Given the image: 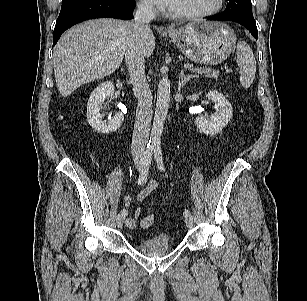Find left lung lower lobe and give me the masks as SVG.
I'll list each match as a JSON object with an SVG mask.
<instances>
[{"mask_svg": "<svg viewBox=\"0 0 307 301\" xmlns=\"http://www.w3.org/2000/svg\"><path fill=\"white\" fill-rule=\"evenodd\" d=\"M208 20H218V21H234L242 24L244 27H246L250 33L255 37V39L258 38V30L256 26V22L254 20V17H248V16H241V15H215L207 18Z\"/></svg>", "mask_w": 307, "mask_h": 301, "instance_id": "obj_1", "label": "left lung lower lobe"}]
</instances>
